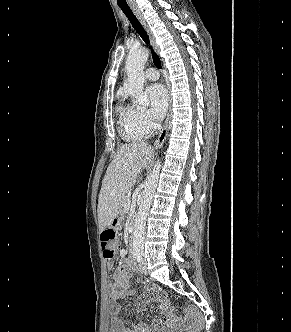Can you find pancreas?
I'll return each mask as SVG.
<instances>
[{
    "label": "pancreas",
    "mask_w": 291,
    "mask_h": 332,
    "mask_svg": "<svg viewBox=\"0 0 291 332\" xmlns=\"http://www.w3.org/2000/svg\"><path fill=\"white\" fill-rule=\"evenodd\" d=\"M130 196V191H127L120 200V212L124 213L126 211L125 203Z\"/></svg>",
    "instance_id": "obj_1"
}]
</instances>
